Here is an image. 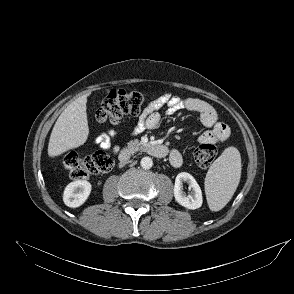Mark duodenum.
I'll list each match as a JSON object with an SVG mask.
<instances>
[{
    "instance_id": "duodenum-1",
    "label": "duodenum",
    "mask_w": 294,
    "mask_h": 294,
    "mask_svg": "<svg viewBox=\"0 0 294 294\" xmlns=\"http://www.w3.org/2000/svg\"><path fill=\"white\" fill-rule=\"evenodd\" d=\"M143 150L156 158H163L168 152V148L163 144H148L144 146ZM131 153L130 148L122 149L118 156L119 161L125 164L129 160Z\"/></svg>"
}]
</instances>
